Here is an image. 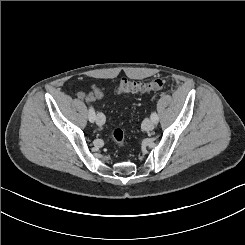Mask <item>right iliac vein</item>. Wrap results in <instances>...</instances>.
<instances>
[{
    "label": "right iliac vein",
    "instance_id": "obj_1",
    "mask_svg": "<svg viewBox=\"0 0 245 245\" xmlns=\"http://www.w3.org/2000/svg\"><path fill=\"white\" fill-rule=\"evenodd\" d=\"M105 123V116L102 113L97 114L96 124L102 126Z\"/></svg>",
    "mask_w": 245,
    "mask_h": 245
}]
</instances>
